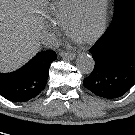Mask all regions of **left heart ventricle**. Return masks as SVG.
<instances>
[{
  "label": "left heart ventricle",
  "mask_w": 135,
  "mask_h": 135,
  "mask_svg": "<svg viewBox=\"0 0 135 135\" xmlns=\"http://www.w3.org/2000/svg\"><path fill=\"white\" fill-rule=\"evenodd\" d=\"M104 0H90L87 14L73 27V37L78 41L89 38L96 30Z\"/></svg>",
  "instance_id": "1"
}]
</instances>
